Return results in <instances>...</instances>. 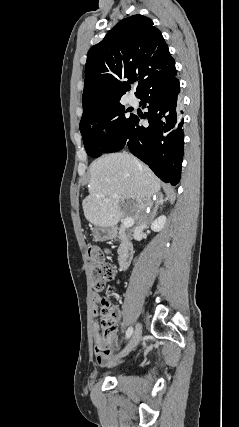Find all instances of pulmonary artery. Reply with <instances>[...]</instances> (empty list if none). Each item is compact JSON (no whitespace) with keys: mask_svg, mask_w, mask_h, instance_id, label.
<instances>
[{"mask_svg":"<svg viewBox=\"0 0 239 427\" xmlns=\"http://www.w3.org/2000/svg\"><path fill=\"white\" fill-rule=\"evenodd\" d=\"M128 103H129V104H131V105H134V104L136 103V98H135V96L130 95V96L128 97Z\"/></svg>","mask_w":239,"mask_h":427,"instance_id":"obj_1","label":"pulmonary artery"}]
</instances>
